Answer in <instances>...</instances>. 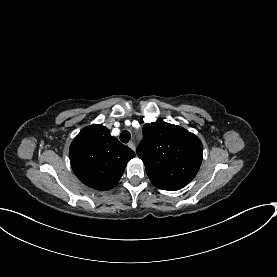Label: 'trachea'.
<instances>
[{"mask_svg":"<svg viewBox=\"0 0 277 277\" xmlns=\"http://www.w3.org/2000/svg\"><path fill=\"white\" fill-rule=\"evenodd\" d=\"M131 138V134L128 130H123L120 134V140L123 143H128Z\"/></svg>","mask_w":277,"mask_h":277,"instance_id":"obj_1","label":"trachea"}]
</instances>
